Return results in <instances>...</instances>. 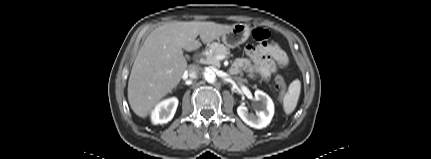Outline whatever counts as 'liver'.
Returning a JSON list of instances; mask_svg holds the SVG:
<instances>
[{
    "instance_id": "6515ba94",
    "label": "liver",
    "mask_w": 431,
    "mask_h": 159,
    "mask_svg": "<svg viewBox=\"0 0 431 159\" xmlns=\"http://www.w3.org/2000/svg\"><path fill=\"white\" fill-rule=\"evenodd\" d=\"M233 25L215 22L173 21L155 28L144 41L128 81V101L133 112L147 117L181 81L187 69L182 49L196 50L216 40Z\"/></svg>"
}]
</instances>
